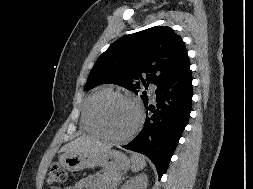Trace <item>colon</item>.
Returning a JSON list of instances; mask_svg holds the SVG:
<instances>
[{
    "label": "colon",
    "mask_w": 253,
    "mask_h": 189,
    "mask_svg": "<svg viewBox=\"0 0 253 189\" xmlns=\"http://www.w3.org/2000/svg\"><path fill=\"white\" fill-rule=\"evenodd\" d=\"M67 174L63 168L59 165L54 164L48 174L47 184L49 185L48 189H54L57 185L65 182Z\"/></svg>",
    "instance_id": "1"
}]
</instances>
